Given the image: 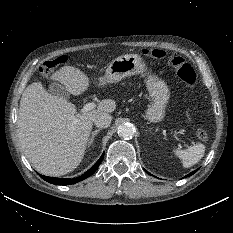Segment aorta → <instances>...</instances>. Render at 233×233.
<instances>
[{
	"label": "aorta",
	"mask_w": 233,
	"mask_h": 233,
	"mask_svg": "<svg viewBox=\"0 0 233 233\" xmlns=\"http://www.w3.org/2000/svg\"><path fill=\"white\" fill-rule=\"evenodd\" d=\"M135 133V128L130 123L122 124L118 127V135L123 139H131Z\"/></svg>",
	"instance_id": "aorta-1"
}]
</instances>
